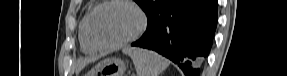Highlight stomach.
<instances>
[{
	"label": "stomach",
	"mask_w": 287,
	"mask_h": 76,
	"mask_svg": "<svg viewBox=\"0 0 287 76\" xmlns=\"http://www.w3.org/2000/svg\"><path fill=\"white\" fill-rule=\"evenodd\" d=\"M126 70L125 63L118 58H107L101 61L86 76H123Z\"/></svg>",
	"instance_id": "1"
}]
</instances>
